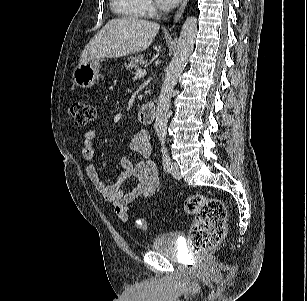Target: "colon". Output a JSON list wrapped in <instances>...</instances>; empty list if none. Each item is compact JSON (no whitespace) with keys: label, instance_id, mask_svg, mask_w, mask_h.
Segmentation results:
<instances>
[{"label":"colon","instance_id":"colon-1","mask_svg":"<svg viewBox=\"0 0 307 301\" xmlns=\"http://www.w3.org/2000/svg\"><path fill=\"white\" fill-rule=\"evenodd\" d=\"M70 113L79 127L86 126L96 116L95 107L82 100L70 103ZM183 208L195 217L188 239L189 249L194 254H203L220 243L227 220L226 206L221 199L192 194L184 199ZM135 225L140 231L148 229V223L143 218H138Z\"/></svg>","mask_w":307,"mask_h":301}]
</instances>
